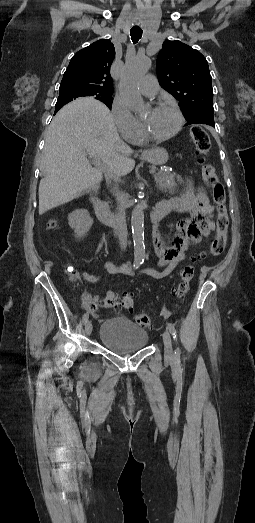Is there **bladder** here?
Wrapping results in <instances>:
<instances>
[{
  "instance_id": "obj_1",
  "label": "bladder",
  "mask_w": 255,
  "mask_h": 523,
  "mask_svg": "<svg viewBox=\"0 0 255 523\" xmlns=\"http://www.w3.org/2000/svg\"><path fill=\"white\" fill-rule=\"evenodd\" d=\"M148 332L135 326L129 320L107 319L101 326L100 341L115 353H129L145 347L148 342Z\"/></svg>"
}]
</instances>
